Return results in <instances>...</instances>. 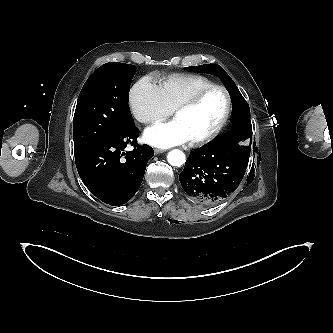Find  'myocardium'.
<instances>
[{"mask_svg": "<svg viewBox=\"0 0 333 333\" xmlns=\"http://www.w3.org/2000/svg\"><path fill=\"white\" fill-rule=\"evenodd\" d=\"M215 90H219V91L223 92L226 97L225 113H224L221 121L219 122V124L211 132H209L208 134H206L200 138L191 140V144L195 147L203 146V145L213 141L224 130L225 126L227 125V123L230 119V116L232 113V107H233V102H232V97H231L230 92L228 91L227 88H225L222 85L213 84V85L200 89L199 91L194 93L192 96H190L188 99L184 100L179 105H177L176 108L173 110V115L175 117L178 113L191 109V108L195 107L196 105H198L207 94H209L210 92L215 91Z\"/></svg>", "mask_w": 333, "mask_h": 333, "instance_id": "1", "label": "myocardium"}]
</instances>
